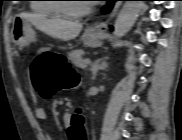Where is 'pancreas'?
<instances>
[{
    "mask_svg": "<svg viewBox=\"0 0 182 140\" xmlns=\"http://www.w3.org/2000/svg\"><path fill=\"white\" fill-rule=\"evenodd\" d=\"M83 54V50H73L70 53H68V58L72 61V63L75 66L84 69L86 67V64L84 63V60L82 58Z\"/></svg>",
    "mask_w": 182,
    "mask_h": 140,
    "instance_id": "cf45deb5",
    "label": "pancreas"
}]
</instances>
